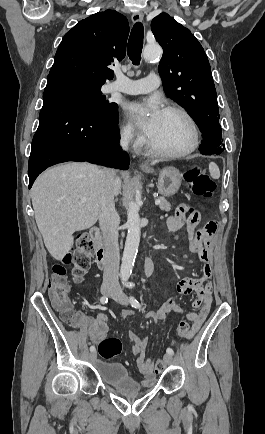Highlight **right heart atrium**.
I'll use <instances>...</instances> for the list:
<instances>
[{
    "mask_svg": "<svg viewBox=\"0 0 265 434\" xmlns=\"http://www.w3.org/2000/svg\"><path fill=\"white\" fill-rule=\"evenodd\" d=\"M117 128L119 139L115 140L116 148H125L127 154H138L145 149L146 138L135 132V127L128 118H120Z\"/></svg>",
    "mask_w": 265,
    "mask_h": 434,
    "instance_id": "d8ad5b80",
    "label": "right heart atrium"
}]
</instances>
